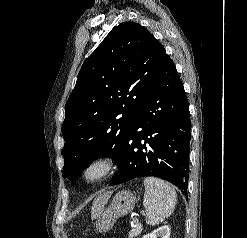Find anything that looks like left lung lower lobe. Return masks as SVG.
<instances>
[{
	"label": "left lung lower lobe",
	"instance_id": "0a47b994",
	"mask_svg": "<svg viewBox=\"0 0 247 238\" xmlns=\"http://www.w3.org/2000/svg\"><path fill=\"white\" fill-rule=\"evenodd\" d=\"M190 113L182 81L168 56L129 133L110 186L137 177L164 179L188 187Z\"/></svg>",
	"mask_w": 247,
	"mask_h": 238
}]
</instances>
